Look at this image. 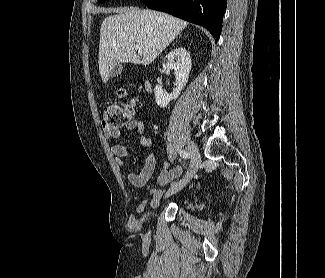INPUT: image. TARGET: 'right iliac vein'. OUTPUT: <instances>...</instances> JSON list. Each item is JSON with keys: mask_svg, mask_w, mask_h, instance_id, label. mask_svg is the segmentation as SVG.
<instances>
[{"mask_svg": "<svg viewBox=\"0 0 325 278\" xmlns=\"http://www.w3.org/2000/svg\"><path fill=\"white\" fill-rule=\"evenodd\" d=\"M188 150L191 156V166L185 177L180 180L178 183L173 184L169 190L166 192L165 197H169L172 194L177 193L181 189H183L189 182L190 180L194 177L198 170V165H199V160H200V153L198 150L197 145L193 142L190 141L188 143Z\"/></svg>", "mask_w": 325, "mask_h": 278, "instance_id": "right-iliac-vein-1", "label": "right iliac vein"}]
</instances>
